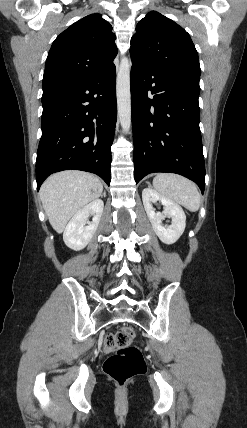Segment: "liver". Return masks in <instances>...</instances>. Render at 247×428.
Instances as JSON below:
<instances>
[{"mask_svg":"<svg viewBox=\"0 0 247 428\" xmlns=\"http://www.w3.org/2000/svg\"><path fill=\"white\" fill-rule=\"evenodd\" d=\"M99 178L83 171H63L51 175L40 188V197L49 222L57 233L78 211L100 197Z\"/></svg>","mask_w":247,"mask_h":428,"instance_id":"obj_1","label":"liver"}]
</instances>
